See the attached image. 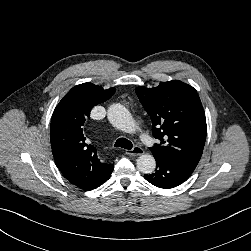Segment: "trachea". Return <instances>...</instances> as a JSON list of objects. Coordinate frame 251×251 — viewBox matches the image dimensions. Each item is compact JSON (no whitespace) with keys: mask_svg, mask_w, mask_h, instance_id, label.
<instances>
[{"mask_svg":"<svg viewBox=\"0 0 251 251\" xmlns=\"http://www.w3.org/2000/svg\"><path fill=\"white\" fill-rule=\"evenodd\" d=\"M115 147H121V148H124V149H132V143L131 141H129L128 139L126 138H119L115 144H114Z\"/></svg>","mask_w":251,"mask_h":251,"instance_id":"1","label":"trachea"}]
</instances>
